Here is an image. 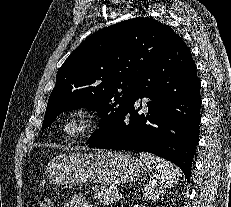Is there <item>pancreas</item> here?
<instances>
[{
    "label": "pancreas",
    "mask_w": 231,
    "mask_h": 207,
    "mask_svg": "<svg viewBox=\"0 0 231 207\" xmlns=\"http://www.w3.org/2000/svg\"><path fill=\"white\" fill-rule=\"evenodd\" d=\"M95 195L104 205H109L117 201V191L108 189L104 186L94 190Z\"/></svg>",
    "instance_id": "cf45deb5"
}]
</instances>
